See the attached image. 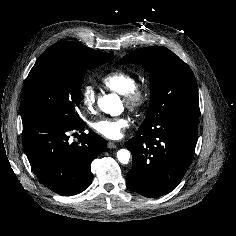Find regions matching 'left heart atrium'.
Here are the masks:
<instances>
[{"instance_id":"left-heart-atrium-1","label":"left heart atrium","mask_w":236,"mask_h":236,"mask_svg":"<svg viewBox=\"0 0 236 236\" xmlns=\"http://www.w3.org/2000/svg\"><path fill=\"white\" fill-rule=\"evenodd\" d=\"M128 125V119L122 116L98 119L92 123V128L100 135L116 140L122 137Z\"/></svg>"}]
</instances>
